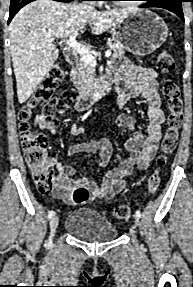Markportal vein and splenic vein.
Listing matches in <instances>:
<instances>
[{"label":"portal vein and splenic vein","instance_id":"obj_1","mask_svg":"<svg viewBox=\"0 0 193 287\" xmlns=\"http://www.w3.org/2000/svg\"><path fill=\"white\" fill-rule=\"evenodd\" d=\"M77 34H73L69 37V39L62 40L61 42L66 43L69 47H71L74 51H76L82 59L90 65L91 67H95L97 65L95 57L92 55V53L81 43L76 41ZM53 41V40H51ZM111 56V50H107L105 52V57L109 58Z\"/></svg>","mask_w":193,"mask_h":287}]
</instances>
